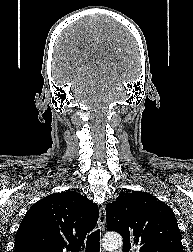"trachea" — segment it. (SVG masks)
I'll return each mask as SVG.
<instances>
[{
  "mask_svg": "<svg viewBox=\"0 0 193 252\" xmlns=\"http://www.w3.org/2000/svg\"><path fill=\"white\" fill-rule=\"evenodd\" d=\"M100 251V230L97 229L92 232L86 242V252H99Z\"/></svg>",
  "mask_w": 193,
  "mask_h": 252,
  "instance_id": "trachea-1",
  "label": "trachea"
}]
</instances>
